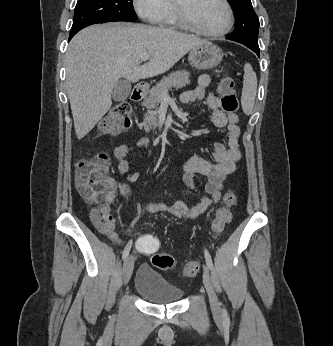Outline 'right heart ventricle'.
<instances>
[{
    "label": "right heart ventricle",
    "instance_id": "1",
    "mask_svg": "<svg viewBox=\"0 0 333 346\" xmlns=\"http://www.w3.org/2000/svg\"><path fill=\"white\" fill-rule=\"evenodd\" d=\"M163 26L172 27V28H180L181 24L179 23L172 0H168V9L162 20L159 22Z\"/></svg>",
    "mask_w": 333,
    "mask_h": 346
}]
</instances>
